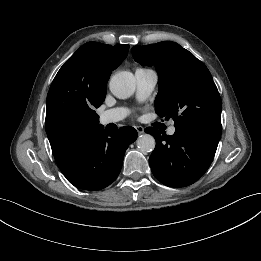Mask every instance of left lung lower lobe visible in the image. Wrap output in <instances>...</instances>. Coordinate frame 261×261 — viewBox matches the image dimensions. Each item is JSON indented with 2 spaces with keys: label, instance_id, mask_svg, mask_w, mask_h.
Returning a JSON list of instances; mask_svg holds the SVG:
<instances>
[{
  "label": "left lung lower lobe",
  "instance_id": "obj_1",
  "mask_svg": "<svg viewBox=\"0 0 261 261\" xmlns=\"http://www.w3.org/2000/svg\"><path fill=\"white\" fill-rule=\"evenodd\" d=\"M145 132L156 140L149 158L152 173L169 187H185L197 181L209 168L221 137V132L179 129L167 136L153 127Z\"/></svg>",
  "mask_w": 261,
  "mask_h": 261
}]
</instances>
